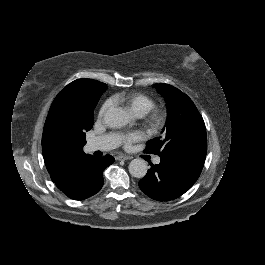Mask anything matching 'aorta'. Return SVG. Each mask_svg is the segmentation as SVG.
I'll use <instances>...</instances> for the list:
<instances>
[{"mask_svg":"<svg viewBox=\"0 0 265 265\" xmlns=\"http://www.w3.org/2000/svg\"><path fill=\"white\" fill-rule=\"evenodd\" d=\"M107 124L113 128L123 127L130 123L127 112L122 107H114L105 114ZM129 172L132 176L142 178L147 172V164L141 158H134L129 163Z\"/></svg>","mask_w":265,"mask_h":265,"instance_id":"aorta-1","label":"aorta"}]
</instances>
